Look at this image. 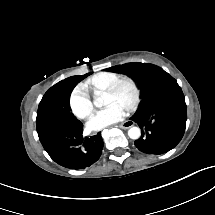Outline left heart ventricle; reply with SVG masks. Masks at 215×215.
<instances>
[{
	"label": "left heart ventricle",
	"mask_w": 215,
	"mask_h": 215,
	"mask_svg": "<svg viewBox=\"0 0 215 215\" xmlns=\"http://www.w3.org/2000/svg\"><path fill=\"white\" fill-rule=\"evenodd\" d=\"M126 98V93L124 91H121L118 93V100L122 101Z\"/></svg>",
	"instance_id": "1"
}]
</instances>
